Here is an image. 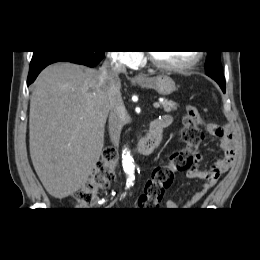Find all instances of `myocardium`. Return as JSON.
Listing matches in <instances>:
<instances>
[{"instance_id":"obj_1","label":"myocardium","mask_w":260,"mask_h":260,"mask_svg":"<svg viewBox=\"0 0 260 260\" xmlns=\"http://www.w3.org/2000/svg\"><path fill=\"white\" fill-rule=\"evenodd\" d=\"M202 57H203V52L196 51V56L190 62H187L185 64H180V65H170L159 61L154 56L153 52H147V58L154 67L164 71H171V72H181V71L192 69L201 61Z\"/></svg>"}]
</instances>
